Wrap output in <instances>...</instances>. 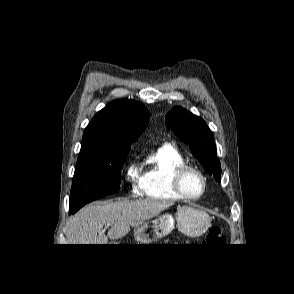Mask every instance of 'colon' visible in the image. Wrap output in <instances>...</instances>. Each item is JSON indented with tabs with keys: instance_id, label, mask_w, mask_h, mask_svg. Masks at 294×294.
<instances>
[{
	"instance_id": "1",
	"label": "colon",
	"mask_w": 294,
	"mask_h": 294,
	"mask_svg": "<svg viewBox=\"0 0 294 294\" xmlns=\"http://www.w3.org/2000/svg\"><path fill=\"white\" fill-rule=\"evenodd\" d=\"M205 242L207 244H218L222 245L224 243V237L220 227H212L205 237Z\"/></svg>"
}]
</instances>
